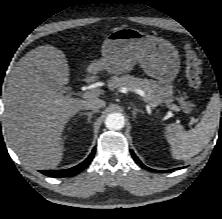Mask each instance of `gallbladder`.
<instances>
[{
    "mask_svg": "<svg viewBox=\"0 0 222 219\" xmlns=\"http://www.w3.org/2000/svg\"><path fill=\"white\" fill-rule=\"evenodd\" d=\"M42 78L45 80V82H47L48 84H50L51 86H53L54 88L58 89V90H64L62 88V86H60L58 83H56L54 80L48 78L46 76L45 73H41Z\"/></svg>",
    "mask_w": 222,
    "mask_h": 219,
    "instance_id": "obj_1",
    "label": "gallbladder"
}]
</instances>
